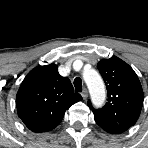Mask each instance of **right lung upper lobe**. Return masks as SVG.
I'll use <instances>...</instances> for the list:
<instances>
[{
    "mask_svg": "<svg viewBox=\"0 0 148 148\" xmlns=\"http://www.w3.org/2000/svg\"><path fill=\"white\" fill-rule=\"evenodd\" d=\"M70 80L58 73L55 64L38 66L24 78L17 96L19 118L33 132H48L63 119L74 103L81 101Z\"/></svg>",
    "mask_w": 148,
    "mask_h": 148,
    "instance_id": "right-lung-upper-lobe-1",
    "label": "right lung upper lobe"
}]
</instances>
